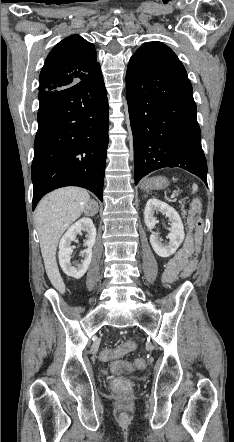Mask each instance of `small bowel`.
Here are the masks:
<instances>
[{
    "label": "small bowel",
    "instance_id": "1",
    "mask_svg": "<svg viewBox=\"0 0 234 442\" xmlns=\"http://www.w3.org/2000/svg\"><path fill=\"white\" fill-rule=\"evenodd\" d=\"M191 246L186 242L184 246L168 262L163 274V282L167 285L171 283L180 271H184L188 261H190Z\"/></svg>",
    "mask_w": 234,
    "mask_h": 442
}]
</instances>
